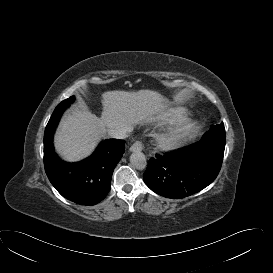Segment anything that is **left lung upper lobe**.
<instances>
[{
	"label": "left lung upper lobe",
	"instance_id": "5c2ea615",
	"mask_svg": "<svg viewBox=\"0 0 273 273\" xmlns=\"http://www.w3.org/2000/svg\"><path fill=\"white\" fill-rule=\"evenodd\" d=\"M200 142L206 145H211L224 152L226 142L224 124L221 123L211 127L210 130L203 135Z\"/></svg>",
	"mask_w": 273,
	"mask_h": 273
}]
</instances>
